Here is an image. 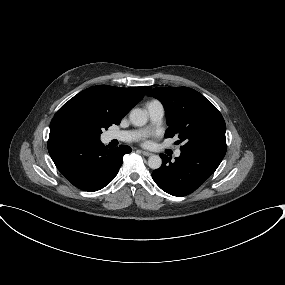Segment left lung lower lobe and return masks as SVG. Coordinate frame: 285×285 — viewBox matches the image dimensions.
<instances>
[{
  "label": "left lung lower lobe",
  "instance_id": "obj_1",
  "mask_svg": "<svg viewBox=\"0 0 285 285\" xmlns=\"http://www.w3.org/2000/svg\"><path fill=\"white\" fill-rule=\"evenodd\" d=\"M162 165L152 173L155 183L166 193L185 196L194 192L217 169L223 158L207 153L181 151L172 162L160 154Z\"/></svg>",
  "mask_w": 285,
  "mask_h": 285
}]
</instances>
